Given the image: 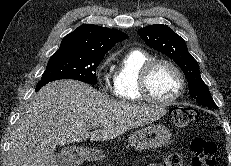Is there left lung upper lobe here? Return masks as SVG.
Returning a JSON list of instances; mask_svg holds the SVG:
<instances>
[{
  "instance_id": "5c2ea615",
  "label": "left lung upper lobe",
  "mask_w": 231,
  "mask_h": 166,
  "mask_svg": "<svg viewBox=\"0 0 231 166\" xmlns=\"http://www.w3.org/2000/svg\"><path fill=\"white\" fill-rule=\"evenodd\" d=\"M138 34L149 47L162 52L178 64L188 80L191 97L203 106L217 108L200 76L199 65L188 52L187 45L182 37L163 24L141 28L138 30Z\"/></svg>"
}]
</instances>
